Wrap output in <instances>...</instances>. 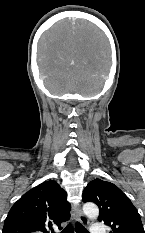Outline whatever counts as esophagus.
<instances>
[{
  "label": "esophagus",
  "instance_id": "obj_1",
  "mask_svg": "<svg viewBox=\"0 0 145 233\" xmlns=\"http://www.w3.org/2000/svg\"><path fill=\"white\" fill-rule=\"evenodd\" d=\"M74 211H75V216H76V219L84 224V225H87L88 224V219L84 216V214L82 213L81 211V208L80 206H75L74 207Z\"/></svg>",
  "mask_w": 145,
  "mask_h": 233
}]
</instances>
